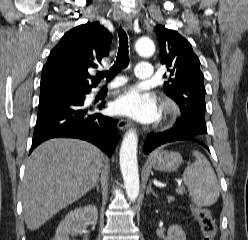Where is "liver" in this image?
<instances>
[{
	"mask_svg": "<svg viewBox=\"0 0 248 240\" xmlns=\"http://www.w3.org/2000/svg\"><path fill=\"white\" fill-rule=\"evenodd\" d=\"M103 161L102 152L85 141L55 138L39 145L27 159L22 184L27 228L38 229L92 189Z\"/></svg>",
	"mask_w": 248,
	"mask_h": 240,
	"instance_id": "6515ba94",
	"label": "liver"
}]
</instances>
